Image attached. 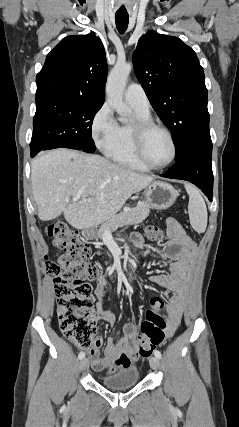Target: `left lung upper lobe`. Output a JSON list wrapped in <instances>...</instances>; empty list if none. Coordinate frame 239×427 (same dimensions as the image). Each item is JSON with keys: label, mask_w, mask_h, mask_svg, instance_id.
<instances>
[{"label": "left lung upper lobe", "mask_w": 239, "mask_h": 427, "mask_svg": "<svg viewBox=\"0 0 239 427\" xmlns=\"http://www.w3.org/2000/svg\"><path fill=\"white\" fill-rule=\"evenodd\" d=\"M138 81L170 129L175 160L190 147L211 142L204 72L192 48L179 38L148 31L133 53Z\"/></svg>", "instance_id": "5c2ea615"}]
</instances>
